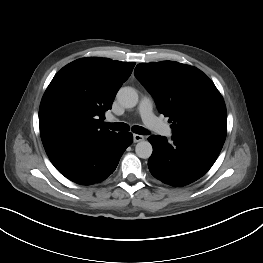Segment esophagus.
I'll return each instance as SVG.
<instances>
[{
    "label": "esophagus",
    "instance_id": "obj_1",
    "mask_svg": "<svg viewBox=\"0 0 263 263\" xmlns=\"http://www.w3.org/2000/svg\"><path fill=\"white\" fill-rule=\"evenodd\" d=\"M133 140H134L135 143H136V142L143 141V140H144V136L139 135V134H134V135H133Z\"/></svg>",
    "mask_w": 263,
    "mask_h": 263
}]
</instances>
